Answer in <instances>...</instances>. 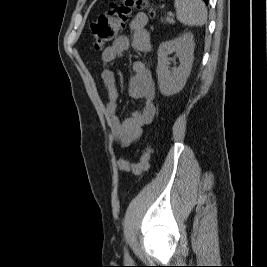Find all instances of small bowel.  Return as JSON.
Segmentation results:
<instances>
[{
  "mask_svg": "<svg viewBox=\"0 0 267 267\" xmlns=\"http://www.w3.org/2000/svg\"><path fill=\"white\" fill-rule=\"evenodd\" d=\"M147 23L148 17L145 13H136L130 22L131 37L119 36L101 55L103 67L101 78L108 97L104 105V113L114 141L122 147H129L138 140L143 128L153 121L156 114L155 83L146 63L139 60L132 63L133 76L129 84V94L133 98L141 99L142 107L122 120L117 113L119 96L117 82L109 65L122 58L130 46L140 52L151 50Z\"/></svg>",
  "mask_w": 267,
  "mask_h": 267,
  "instance_id": "obj_1",
  "label": "small bowel"
}]
</instances>
